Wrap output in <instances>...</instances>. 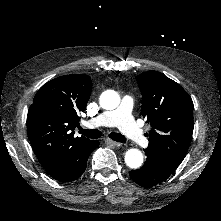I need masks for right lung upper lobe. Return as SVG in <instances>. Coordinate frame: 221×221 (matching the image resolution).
<instances>
[{"instance_id": "right-lung-upper-lobe-1", "label": "right lung upper lobe", "mask_w": 221, "mask_h": 221, "mask_svg": "<svg viewBox=\"0 0 221 221\" xmlns=\"http://www.w3.org/2000/svg\"><path fill=\"white\" fill-rule=\"evenodd\" d=\"M92 81L84 74L65 75L44 84L28 110V137L49 175L57 173L92 140L74 137L81 111L90 98Z\"/></svg>"}]
</instances>
